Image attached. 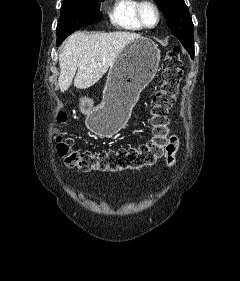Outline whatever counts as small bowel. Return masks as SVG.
<instances>
[{
  "label": "small bowel",
  "instance_id": "c3829d8e",
  "mask_svg": "<svg viewBox=\"0 0 240 281\" xmlns=\"http://www.w3.org/2000/svg\"><path fill=\"white\" fill-rule=\"evenodd\" d=\"M178 149V138L175 135H171L169 138V145L166 153V162L168 167H173L176 164V152ZM80 188H85L86 186L82 183H75Z\"/></svg>",
  "mask_w": 240,
  "mask_h": 281
}]
</instances>
